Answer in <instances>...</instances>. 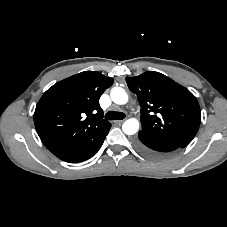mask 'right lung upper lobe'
<instances>
[{
  "label": "right lung upper lobe",
  "instance_id": "right-lung-upper-lobe-1",
  "mask_svg": "<svg viewBox=\"0 0 227 227\" xmlns=\"http://www.w3.org/2000/svg\"><path fill=\"white\" fill-rule=\"evenodd\" d=\"M113 79L84 71L50 87L39 100L34 123L48 150L61 157L89 146L111 126L102 119L99 98Z\"/></svg>",
  "mask_w": 227,
  "mask_h": 227
}]
</instances>
